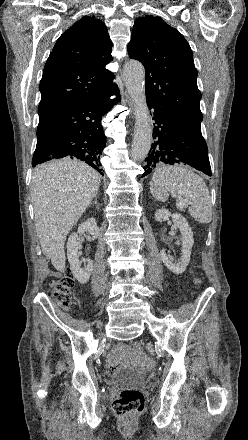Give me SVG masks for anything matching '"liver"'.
<instances>
[{"label": "liver", "instance_id": "1", "mask_svg": "<svg viewBox=\"0 0 248 440\" xmlns=\"http://www.w3.org/2000/svg\"><path fill=\"white\" fill-rule=\"evenodd\" d=\"M100 175L70 158L38 165L31 182L35 226L43 254L59 272L65 271L67 234L98 192Z\"/></svg>", "mask_w": 248, "mask_h": 440}]
</instances>
